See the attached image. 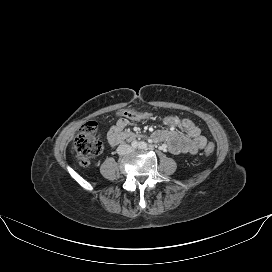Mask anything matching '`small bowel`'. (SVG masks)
<instances>
[{
	"instance_id": "1",
	"label": "small bowel",
	"mask_w": 272,
	"mask_h": 272,
	"mask_svg": "<svg viewBox=\"0 0 272 272\" xmlns=\"http://www.w3.org/2000/svg\"><path fill=\"white\" fill-rule=\"evenodd\" d=\"M167 125L179 127L184 133H179L173 129L156 131L152 138L155 142H163L167 149L173 154H195L203 149L207 144V139L201 134L200 129L188 118L169 116L164 119ZM128 125V120L124 117L117 120L108 133L111 144L112 137L122 131ZM112 145V144H111Z\"/></svg>"
}]
</instances>
